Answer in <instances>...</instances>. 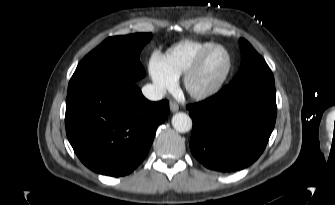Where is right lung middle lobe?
Returning <instances> with one entry per match:
<instances>
[{
    "label": "right lung middle lobe",
    "mask_w": 335,
    "mask_h": 205,
    "mask_svg": "<svg viewBox=\"0 0 335 205\" xmlns=\"http://www.w3.org/2000/svg\"><path fill=\"white\" fill-rule=\"evenodd\" d=\"M151 37V33H136L107 38L78 64L68 90L97 80L133 83L143 78L139 55Z\"/></svg>",
    "instance_id": "dd1d6c3e"
}]
</instances>
